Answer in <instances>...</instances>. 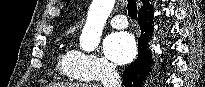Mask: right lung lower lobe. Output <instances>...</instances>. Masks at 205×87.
<instances>
[{
  "instance_id": "1",
  "label": "right lung lower lobe",
  "mask_w": 205,
  "mask_h": 87,
  "mask_svg": "<svg viewBox=\"0 0 205 87\" xmlns=\"http://www.w3.org/2000/svg\"><path fill=\"white\" fill-rule=\"evenodd\" d=\"M153 7L150 4L139 10L138 23L141 29V36L138 39V58L131 63L124 71L123 84L125 87H142L143 81L150 71V56L148 49L149 39L153 33Z\"/></svg>"
}]
</instances>
